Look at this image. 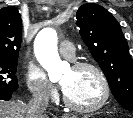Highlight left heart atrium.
Instances as JSON below:
<instances>
[{
	"mask_svg": "<svg viewBox=\"0 0 133 118\" xmlns=\"http://www.w3.org/2000/svg\"><path fill=\"white\" fill-rule=\"evenodd\" d=\"M62 88H63V90H64V92H65V90H66L65 86L62 85Z\"/></svg>",
	"mask_w": 133,
	"mask_h": 118,
	"instance_id": "left-heart-atrium-1",
	"label": "left heart atrium"
}]
</instances>
